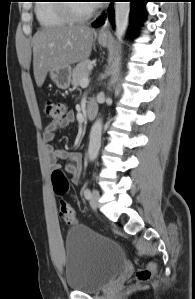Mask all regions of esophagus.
Instances as JSON below:
<instances>
[{
    "label": "esophagus",
    "mask_w": 195,
    "mask_h": 299,
    "mask_svg": "<svg viewBox=\"0 0 195 299\" xmlns=\"http://www.w3.org/2000/svg\"><path fill=\"white\" fill-rule=\"evenodd\" d=\"M109 35H110V23L109 20L106 19L98 32V36L100 38H107Z\"/></svg>",
    "instance_id": "34e87169"
}]
</instances>
